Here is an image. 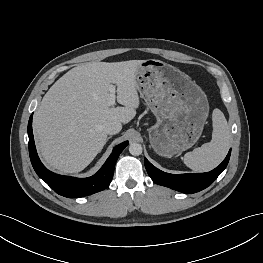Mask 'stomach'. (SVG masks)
Wrapping results in <instances>:
<instances>
[{"mask_svg":"<svg viewBox=\"0 0 263 263\" xmlns=\"http://www.w3.org/2000/svg\"><path fill=\"white\" fill-rule=\"evenodd\" d=\"M136 86L157 122L149 129L154 151L171 157L200 138L209 113L204 91L178 68L161 60H143Z\"/></svg>","mask_w":263,"mask_h":263,"instance_id":"obj_1","label":"stomach"}]
</instances>
